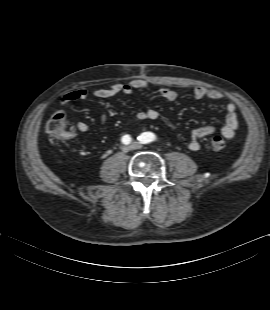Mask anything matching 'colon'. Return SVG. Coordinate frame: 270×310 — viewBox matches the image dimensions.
Returning a JSON list of instances; mask_svg holds the SVG:
<instances>
[{
  "mask_svg": "<svg viewBox=\"0 0 270 310\" xmlns=\"http://www.w3.org/2000/svg\"><path fill=\"white\" fill-rule=\"evenodd\" d=\"M46 130L54 140H63L71 136L67 130L66 115L62 111H56L50 117L46 124ZM208 146L214 151H220L227 146V142L221 136H213L210 138Z\"/></svg>",
  "mask_w": 270,
  "mask_h": 310,
  "instance_id": "colon-1",
  "label": "colon"
}]
</instances>
